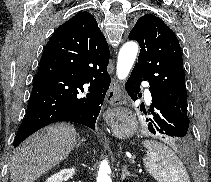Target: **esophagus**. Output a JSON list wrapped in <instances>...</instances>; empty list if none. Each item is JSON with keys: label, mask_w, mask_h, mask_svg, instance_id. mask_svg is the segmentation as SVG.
I'll use <instances>...</instances> for the list:
<instances>
[{"label": "esophagus", "mask_w": 211, "mask_h": 182, "mask_svg": "<svg viewBox=\"0 0 211 182\" xmlns=\"http://www.w3.org/2000/svg\"><path fill=\"white\" fill-rule=\"evenodd\" d=\"M106 99L112 106H119L126 100L119 87V84L115 80H113L110 84Z\"/></svg>", "instance_id": "obj_1"}]
</instances>
